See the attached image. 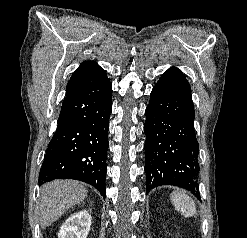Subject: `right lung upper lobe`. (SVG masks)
<instances>
[{
	"label": "right lung upper lobe",
	"mask_w": 247,
	"mask_h": 238,
	"mask_svg": "<svg viewBox=\"0 0 247 238\" xmlns=\"http://www.w3.org/2000/svg\"><path fill=\"white\" fill-rule=\"evenodd\" d=\"M99 66L95 61H84L78 69L72 74L67 86L66 94L74 89L85 77L95 71Z\"/></svg>",
	"instance_id": "cb5924a9"
}]
</instances>
